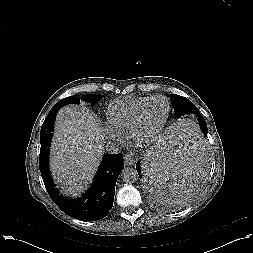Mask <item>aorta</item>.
I'll return each mask as SVG.
<instances>
[{
	"instance_id": "obj_1",
	"label": "aorta",
	"mask_w": 253,
	"mask_h": 253,
	"mask_svg": "<svg viewBox=\"0 0 253 253\" xmlns=\"http://www.w3.org/2000/svg\"><path fill=\"white\" fill-rule=\"evenodd\" d=\"M121 177L126 183H134L138 180V172L135 168L126 167L123 169Z\"/></svg>"
}]
</instances>
